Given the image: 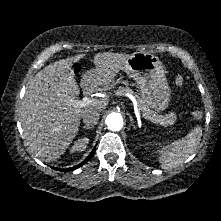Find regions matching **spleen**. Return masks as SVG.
I'll list each match as a JSON object with an SVG mask.
<instances>
[{
  "label": "spleen",
  "instance_id": "1",
  "mask_svg": "<svg viewBox=\"0 0 221 221\" xmlns=\"http://www.w3.org/2000/svg\"><path fill=\"white\" fill-rule=\"evenodd\" d=\"M202 128L195 127L185 138L172 142L167 146H161L157 153L162 169H172L182 164L200 143Z\"/></svg>",
  "mask_w": 221,
  "mask_h": 221
}]
</instances>
